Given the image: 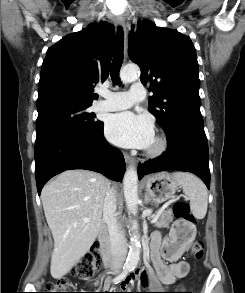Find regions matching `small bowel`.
<instances>
[{
    "label": "small bowel",
    "mask_w": 245,
    "mask_h": 293,
    "mask_svg": "<svg viewBox=\"0 0 245 293\" xmlns=\"http://www.w3.org/2000/svg\"><path fill=\"white\" fill-rule=\"evenodd\" d=\"M150 257L152 266L138 272L142 287L149 286L148 275L154 268L160 277V281L165 288L173 285L178 279L183 278L189 272V264L186 261L178 260L183 247L178 246L173 241L171 236L164 238L159 233H153L150 240ZM164 260L170 264L164 263ZM134 274L127 276L121 283L122 288H128L134 278ZM111 286L110 279H107L104 289H109Z\"/></svg>",
    "instance_id": "1"
}]
</instances>
